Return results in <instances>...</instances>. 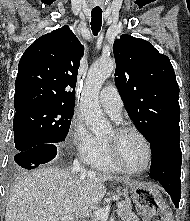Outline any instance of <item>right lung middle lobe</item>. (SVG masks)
<instances>
[{
  "label": "right lung middle lobe",
  "mask_w": 190,
  "mask_h": 221,
  "mask_svg": "<svg viewBox=\"0 0 190 221\" xmlns=\"http://www.w3.org/2000/svg\"><path fill=\"white\" fill-rule=\"evenodd\" d=\"M74 107L39 105L16 112L13 120L15 148L19 152L45 143H59L68 134Z\"/></svg>",
  "instance_id": "right-lung-middle-lobe-1"
}]
</instances>
